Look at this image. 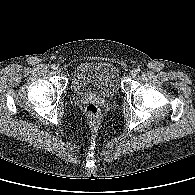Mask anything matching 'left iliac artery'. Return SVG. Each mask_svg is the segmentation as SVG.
Masks as SVG:
<instances>
[{"instance_id": "44dca946", "label": "left iliac artery", "mask_w": 195, "mask_h": 195, "mask_svg": "<svg viewBox=\"0 0 195 195\" xmlns=\"http://www.w3.org/2000/svg\"><path fill=\"white\" fill-rule=\"evenodd\" d=\"M139 72H140V69H136V70H135V73H139Z\"/></svg>"}]
</instances>
